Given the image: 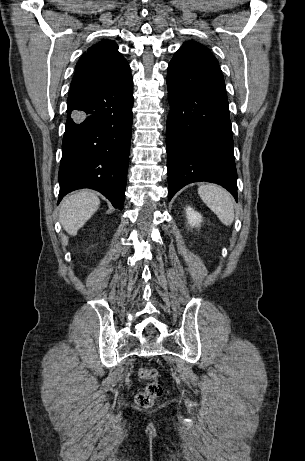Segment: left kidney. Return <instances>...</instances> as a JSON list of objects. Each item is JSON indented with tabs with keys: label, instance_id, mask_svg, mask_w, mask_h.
Wrapping results in <instances>:
<instances>
[{
	"label": "left kidney",
	"instance_id": "left-kidney-1",
	"mask_svg": "<svg viewBox=\"0 0 305 461\" xmlns=\"http://www.w3.org/2000/svg\"><path fill=\"white\" fill-rule=\"evenodd\" d=\"M186 218L188 220V223L192 227L199 226L200 223L202 222V216L200 213L196 212L193 208L188 206L186 209Z\"/></svg>",
	"mask_w": 305,
	"mask_h": 461
}]
</instances>
